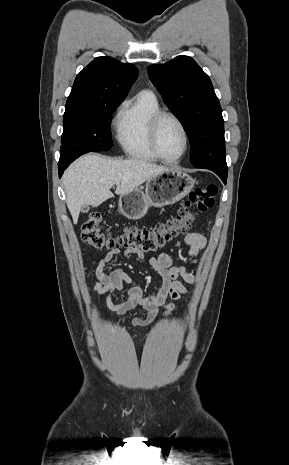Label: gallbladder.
<instances>
[{
  "label": "gallbladder",
  "instance_id": "gallbladder-1",
  "mask_svg": "<svg viewBox=\"0 0 289 465\" xmlns=\"http://www.w3.org/2000/svg\"><path fill=\"white\" fill-rule=\"evenodd\" d=\"M88 210H89V206H88V205H83L82 208H81V211H82L83 213L88 212Z\"/></svg>",
  "mask_w": 289,
  "mask_h": 465
}]
</instances>
